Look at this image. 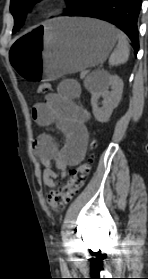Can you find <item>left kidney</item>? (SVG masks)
<instances>
[{"label":"left kidney","mask_w":148,"mask_h":279,"mask_svg":"<svg viewBox=\"0 0 148 279\" xmlns=\"http://www.w3.org/2000/svg\"><path fill=\"white\" fill-rule=\"evenodd\" d=\"M123 86L122 79L117 75L103 72L97 77L91 88L92 112L97 121L105 123L109 120L121 100ZM100 97L103 98L102 107L98 106Z\"/></svg>","instance_id":"left-kidney-1"}]
</instances>
